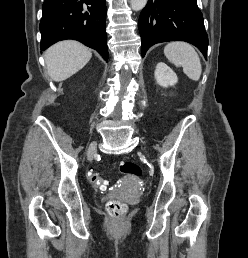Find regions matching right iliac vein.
Instances as JSON below:
<instances>
[{"label":"right iliac vein","mask_w":248,"mask_h":258,"mask_svg":"<svg viewBox=\"0 0 248 258\" xmlns=\"http://www.w3.org/2000/svg\"><path fill=\"white\" fill-rule=\"evenodd\" d=\"M96 150H97V142L93 141L90 143L89 147H88V151H87V158L89 161H92L95 154H96Z\"/></svg>","instance_id":"right-iliac-vein-1"}]
</instances>
